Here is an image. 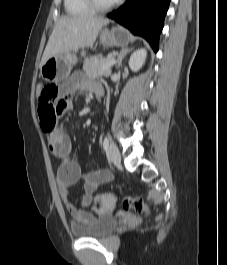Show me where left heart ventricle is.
<instances>
[{
    "label": "left heart ventricle",
    "mask_w": 227,
    "mask_h": 265,
    "mask_svg": "<svg viewBox=\"0 0 227 265\" xmlns=\"http://www.w3.org/2000/svg\"><path fill=\"white\" fill-rule=\"evenodd\" d=\"M113 1H114V0H98V2H99L100 4H103V5L109 4V3L113 2Z\"/></svg>",
    "instance_id": "left-heart-ventricle-1"
}]
</instances>
